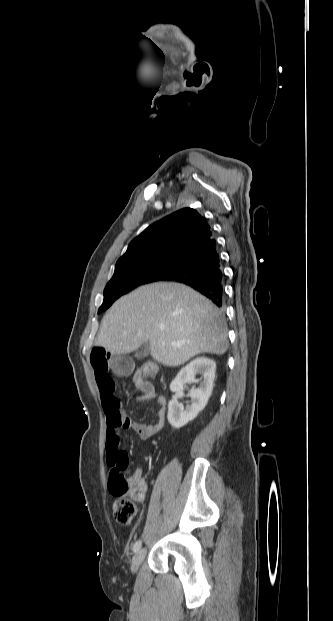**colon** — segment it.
<instances>
[{
	"label": "colon",
	"instance_id": "colon-1",
	"mask_svg": "<svg viewBox=\"0 0 333 621\" xmlns=\"http://www.w3.org/2000/svg\"><path fill=\"white\" fill-rule=\"evenodd\" d=\"M158 367L155 363H145L138 368L134 376L151 377L157 374ZM125 467L117 465L113 467L109 475V491L116 498L113 503L114 519L120 524H130L136 516V507L133 502L145 492L144 479L127 478Z\"/></svg>",
	"mask_w": 333,
	"mask_h": 621
}]
</instances>
